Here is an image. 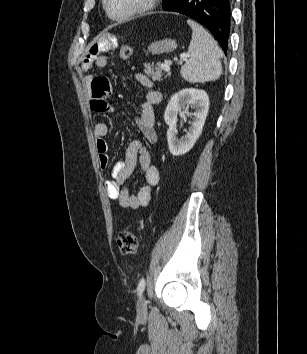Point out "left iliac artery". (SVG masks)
<instances>
[{"label":"left iliac artery","instance_id":"left-iliac-artery-1","mask_svg":"<svg viewBox=\"0 0 307 354\" xmlns=\"http://www.w3.org/2000/svg\"><path fill=\"white\" fill-rule=\"evenodd\" d=\"M145 285H146V281L144 278H142L139 283H138V286H137V292H138V295L141 296V294L143 293L144 289H145Z\"/></svg>","mask_w":307,"mask_h":354}]
</instances>
